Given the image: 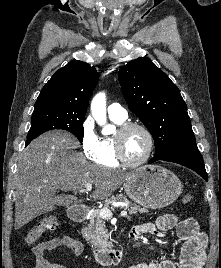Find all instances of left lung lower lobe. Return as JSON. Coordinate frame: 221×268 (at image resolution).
<instances>
[{
    "instance_id": "0a47b994",
    "label": "left lung lower lobe",
    "mask_w": 221,
    "mask_h": 268,
    "mask_svg": "<svg viewBox=\"0 0 221 268\" xmlns=\"http://www.w3.org/2000/svg\"><path fill=\"white\" fill-rule=\"evenodd\" d=\"M158 160L174 162L186 166L197 172L207 181L203 158L197 148L196 142L179 145L163 157H153L148 163H153Z\"/></svg>"
}]
</instances>
